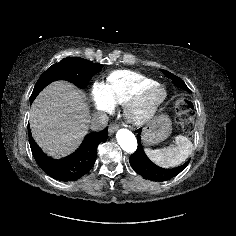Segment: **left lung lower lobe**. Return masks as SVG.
<instances>
[{"label":"left lung lower lobe","mask_w":236,"mask_h":236,"mask_svg":"<svg viewBox=\"0 0 236 236\" xmlns=\"http://www.w3.org/2000/svg\"><path fill=\"white\" fill-rule=\"evenodd\" d=\"M140 134L141 130L139 129L137 135L138 148L130 156L129 162L132 168L142 177L152 181H166L179 174L189 164L190 160H188L183 165L173 169H164L155 165L149 160L142 148Z\"/></svg>","instance_id":"0a47b994"}]
</instances>
